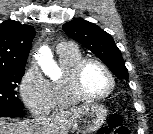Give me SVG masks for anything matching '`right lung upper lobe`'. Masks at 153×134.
Instances as JSON below:
<instances>
[{
  "instance_id": "1",
  "label": "right lung upper lobe",
  "mask_w": 153,
  "mask_h": 134,
  "mask_svg": "<svg viewBox=\"0 0 153 134\" xmlns=\"http://www.w3.org/2000/svg\"><path fill=\"white\" fill-rule=\"evenodd\" d=\"M35 29L14 20L0 24V69L25 68Z\"/></svg>"
}]
</instances>
